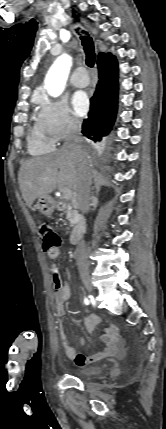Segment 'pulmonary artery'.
I'll use <instances>...</instances> for the list:
<instances>
[{
    "instance_id": "e3ab8cb5",
    "label": "pulmonary artery",
    "mask_w": 166,
    "mask_h": 429,
    "mask_svg": "<svg viewBox=\"0 0 166 429\" xmlns=\"http://www.w3.org/2000/svg\"><path fill=\"white\" fill-rule=\"evenodd\" d=\"M71 83L73 86L77 88H83L86 87L89 83L88 76L86 74V70L83 67H79L75 70L72 78Z\"/></svg>"
}]
</instances>
